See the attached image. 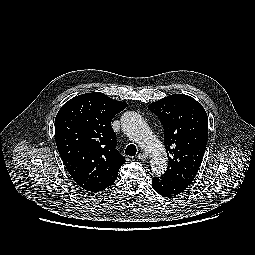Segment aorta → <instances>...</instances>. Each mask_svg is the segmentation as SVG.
<instances>
[{
    "instance_id": "aorta-1",
    "label": "aorta",
    "mask_w": 255,
    "mask_h": 255,
    "mask_svg": "<svg viewBox=\"0 0 255 255\" xmlns=\"http://www.w3.org/2000/svg\"><path fill=\"white\" fill-rule=\"evenodd\" d=\"M121 127L130 140L148 153L152 172L155 175L163 174L167 168L164 146L150 130L144 118L134 111L125 112L121 117Z\"/></svg>"
}]
</instances>
